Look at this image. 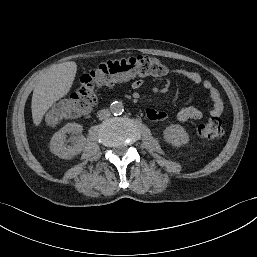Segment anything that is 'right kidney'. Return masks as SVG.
Returning a JSON list of instances; mask_svg holds the SVG:
<instances>
[{"mask_svg": "<svg viewBox=\"0 0 257 257\" xmlns=\"http://www.w3.org/2000/svg\"><path fill=\"white\" fill-rule=\"evenodd\" d=\"M71 136L67 139V134ZM71 142L72 146L67 145ZM85 138L82 135V126L77 123H68L56 132L50 141V150L62 159H70L84 148Z\"/></svg>", "mask_w": 257, "mask_h": 257, "instance_id": "right-kidney-1", "label": "right kidney"}]
</instances>
